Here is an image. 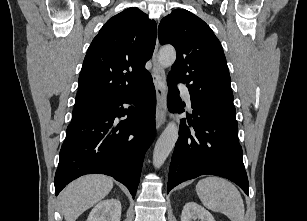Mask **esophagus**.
Here are the masks:
<instances>
[{
	"label": "esophagus",
	"mask_w": 307,
	"mask_h": 221,
	"mask_svg": "<svg viewBox=\"0 0 307 221\" xmlns=\"http://www.w3.org/2000/svg\"><path fill=\"white\" fill-rule=\"evenodd\" d=\"M159 40L156 39V45L152 56L153 72L152 78L156 90V128L159 129L166 121V75L158 61Z\"/></svg>",
	"instance_id": "34e87169"
}]
</instances>
